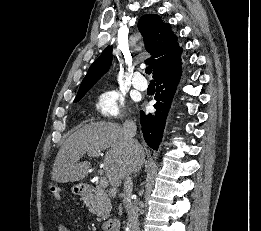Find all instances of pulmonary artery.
<instances>
[{
    "mask_svg": "<svg viewBox=\"0 0 261 231\" xmlns=\"http://www.w3.org/2000/svg\"><path fill=\"white\" fill-rule=\"evenodd\" d=\"M132 84L136 89L141 90V91L146 90V88L148 86L145 78L139 72L134 74V77L132 79Z\"/></svg>",
    "mask_w": 261,
    "mask_h": 231,
    "instance_id": "pulmonary-artery-1",
    "label": "pulmonary artery"
}]
</instances>
